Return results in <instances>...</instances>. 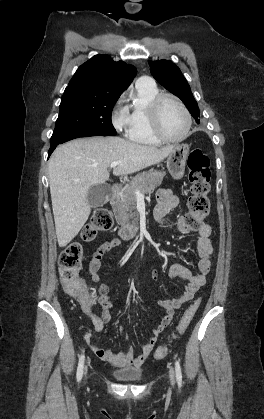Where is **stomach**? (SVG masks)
<instances>
[{
  "label": "stomach",
  "mask_w": 264,
  "mask_h": 419,
  "mask_svg": "<svg viewBox=\"0 0 264 419\" xmlns=\"http://www.w3.org/2000/svg\"><path fill=\"white\" fill-rule=\"evenodd\" d=\"M189 148L188 144H175L168 155L167 168L174 179H181L184 175Z\"/></svg>",
  "instance_id": "1"
}]
</instances>
